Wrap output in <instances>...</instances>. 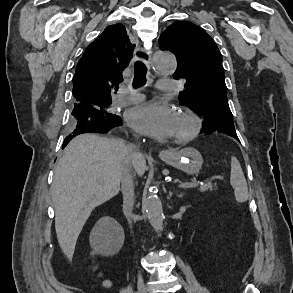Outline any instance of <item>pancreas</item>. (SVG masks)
Listing matches in <instances>:
<instances>
[{
  "mask_svg": "<svg viewBox=\"0 0 293 293\" xmlns=\"http://www.w3.org/2000/svg\"><path fill=\"white\" fill-rule=\"evenodd\" d=\"M216 189V186H214L210 181H205V184L199 186L200 192L213 191Z\"/></svg>",
  "mask_w": 293,
  "mask_h": 293,
  "instance_id": "cf45deb5",
  "label": "pancreas"
}]
</instances>
